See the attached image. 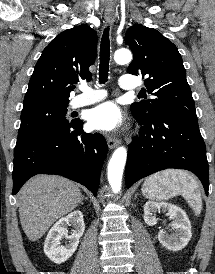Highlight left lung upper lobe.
Masks as SVG:
<instances>
[{
	"instance_id": "left-lung-upper-lobe-1",
	"label": "left lung upper lobe",
	"mask_w": 215,
	"mask_h": 274,
	"mask_svg": "<svg viewBox=\"0 0 215 274\" xmlns=\"http://www.w3.org/2000/svg\"><path fill=\"white\" fill-rule=\"evenodd\" d=\"M125 42L134 55L128 72L146 76L144 91L156 97L133 103L132 114L150 117L167 113L197 119L186 70L176 46L159 31L141 24L127 30Z\"/></svg>"
}]
</instances>
